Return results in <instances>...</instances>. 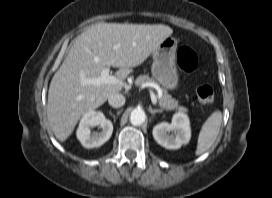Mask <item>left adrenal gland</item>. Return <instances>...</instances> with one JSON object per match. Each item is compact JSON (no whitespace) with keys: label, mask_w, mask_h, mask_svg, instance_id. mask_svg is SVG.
Listing matches in <instances>:
<instances>
[{"label":"left adrenal gland","mask_w":272,"mask_h":198,"mask_svg":"<svg viewBox=\"0 0 272 198\" xmlns=\"http://www.w3.org/2000/svg\"><path fill=\"white\" fill-rule=\"evenodd\" d=\"M149 111L152 115H155L156 113H162L161 109H152L151 107L149 108Z\"/></svg>","instance_id":"1"}]
</instances>
